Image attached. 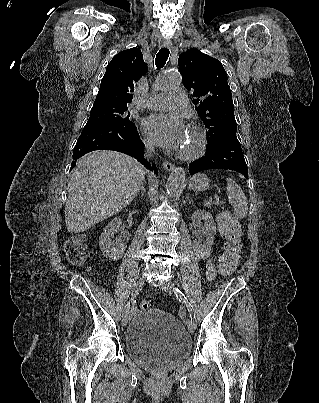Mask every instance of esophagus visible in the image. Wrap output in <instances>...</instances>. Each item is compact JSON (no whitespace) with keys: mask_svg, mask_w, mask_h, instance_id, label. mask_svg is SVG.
Listing matches in <instances>:
<instances>
[{"mask_svg":"<svg viewBox=\"0 0 319 403\" xmlns=\"http://www.w3.org/2000/svg\"><path fill=\"white\" fill-rule=\"evenodd\" d=\"M163 47L168 48V49L172 48V42L171 41L164 42ZM163 167L167 171H172L175 166L171 162L166 161L163 163Z\"/></svg>","mask_w":319,"mask_h":403,"instance_id":"34e87169","label":"esophagus"}]
</instances>
